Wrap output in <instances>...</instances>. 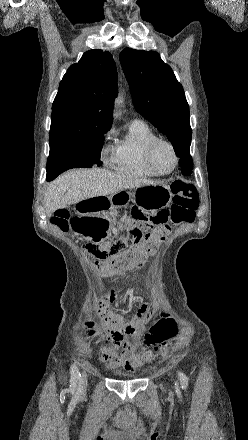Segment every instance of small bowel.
I'll return each mask as SVG.
<instances>
[{
  "mask_svg": "<svg viewBox=\"0 0 248 440\" xmlns=\"http://www.w3.org/2000/svg\"><path fill=\"white\" fill-rule=\"evenodd\" d=\"M113 296H110L112 299ZM149 306L142 305L136 314L126 320L121 315L111 311L106 303H99L94 313L101 317L99 323L89 314L83 322L88 335L100 337L104 344L99 348L100 359L109 368L125 366L127 369L141 367L147 356L138 354L137 347L140 338L145 332V321Z\"/></svg>",
  "mask_w": 248,
  "mask_h": 440,
  "instance_id": "1",
  "label": "small bowel"
}]
</instances>
